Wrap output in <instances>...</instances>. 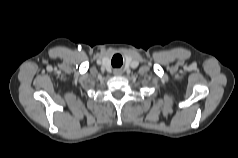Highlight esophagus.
Here are the masks:
<instances>
[{
  "mask_svg": "<svg viewBox=\"0 0 238 158\" xmlns=\"http://www.w3.org/2000/svg\"><path fill=\"white\" fill-rule=\"evenodd\" d=\"M113 73L116 76H120V75H122V70L121 69H115Z\"/></svg>",
  "mask_w": 238,
  "mask_h": 158,
  "instance_id": "1",
  "label": "esophagus"
}]
</instances>
